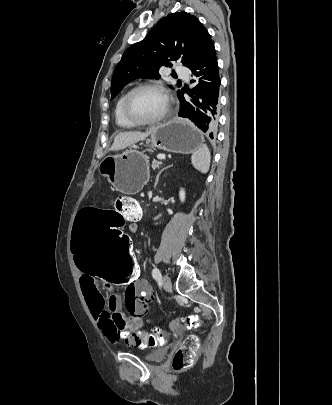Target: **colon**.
Instances as JSON below:
<instances>
[{
  "label": "colon",
  "mask_w": 332,
  "mask_h": 405,
  "mask_svg": "<svg viewBox=\"0 0 332 405\" xmlns=\"http://www.w3.org/2000/svg\"><path fill=\"white\" fill-rule=\"evenodd\" d=\"M117 211H109L106 205L89 203L79 212L80 220H73L74 256L79 262L82 275H97L98 281H111L113 287H130L131 281H138L139 266L134 259V234H128L123 221L139 211V203L127 195L118 196L115 203ZM163 317L161 310H154L146 317V324L153 325L151 332L130 333L119 331L124 342H132L136 336L140 351H158L159 345L168 340V325H160ZM189 328L207 324V315H188L181 319ZM199 348L197 336H188L173 355V368L183 370L193 363Z\"/></svg>",
  "instance_id": "colon-1"
}]
</instances>
